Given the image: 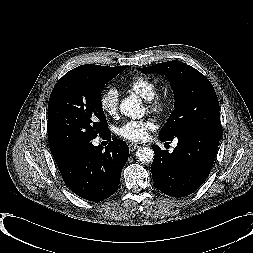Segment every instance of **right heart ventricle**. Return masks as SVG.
<instances>
[{
    "instance_id": "1",
    "label": "right heart ventricle",
    "mask_w": 253,
    "mask_h": 253,
    "mask_svg": "<svg viewBox=\"0 0 253 253\" xmlns=\"http://www.w3.org/2000/svg\"><path fill=\"white\" fill-rule=\"evenodd\" d=\"M128 88L142 97L144 100L149 101L159 92V85L144 76H136L129 83Z\"/></svg>"
}]
</instances>
